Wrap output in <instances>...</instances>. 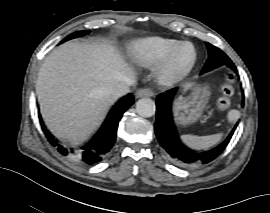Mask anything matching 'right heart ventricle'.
<instances>
[{"label":"right heart ventricle","instance_id":"right-heart-ventricle-1","mask_svg":"<svg viewBox=\"0 0 270 213\" xmlns=\"http://www.w3.org/2000/svg\"><path fill=\"white\" fill-rule=\"evenodd\" d=\"M177 42L162 37L145 38L135 43L132 56L139 65L150 67L160 62Z\"/></svg>","mask_w":270,"mask_h":213}]
</instances>
